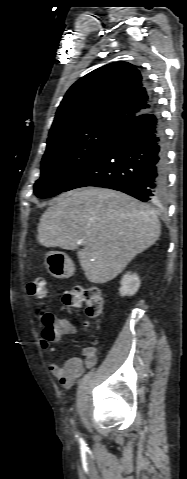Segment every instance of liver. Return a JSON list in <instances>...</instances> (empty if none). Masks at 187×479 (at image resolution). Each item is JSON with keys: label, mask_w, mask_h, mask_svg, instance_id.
Wrapping results in <instances>:
<instances>
[{"label": "liver", "mask_w": 187, "mask_h": 479, "mask_svg": "<svg viewBox=\"0 0 187 479\" xmlns=\"http://www.w3.org/2000/svg\"><path fill=\"white\" fill-rule=\"evenodd\" d=\"M156 213L122 192L85 187L55 198L42 214L38 239L47 248H83L77 256L86 278L106 283L159 239Z\"/></svg>", "instance_id": "1"}]
</instances>
